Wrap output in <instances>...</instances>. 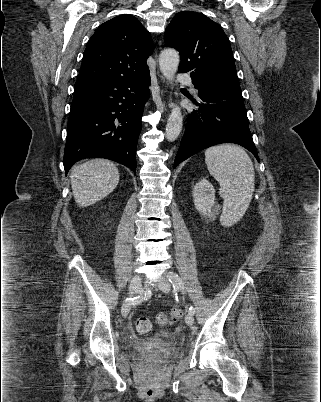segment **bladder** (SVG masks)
Masks as SVG:
<instances>
[{"label": "bladder", "instance_id": "31cf9c89", "mask_svg": "<svg viewBox=\"0 0 321 402\" xmlns=\"http://www.w3.org/2000/svg\"><path fill=\"white\" fill-rule=\"evenodd\" d=\"M166 335L153 336L145 339L141 345V349L144 353L149 355L153 360L156 361H166L168 360V355L163 353L158 342L167 338Z\"/></svg>", "mask_w": 321, "mask_h": 402}]
</instances>
